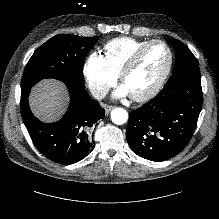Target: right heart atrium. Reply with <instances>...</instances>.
Segmentation results:
<instances>
[{
	"label": "right heart atrium",
	"instance_id": "obj_1",
	"mask_svg": "<svg viewBox=\"0 0 219 219\" xmlns=\"http://www.w3.org/2000/svg\"><path fill=\"white\" fill-rule=\"evenodd\" d=\"M83 73L89 89L98 97L103 96L117 78L107 64L104 55L98 52H91L87 56Z\"/></svg>",
	"mask_w": 219,
	"mask_h": 219
}]
</instances>
